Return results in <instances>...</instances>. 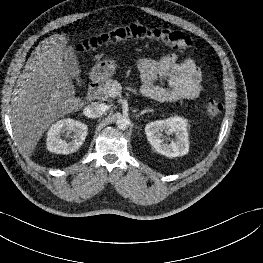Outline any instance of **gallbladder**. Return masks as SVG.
I'll list each match as a JSON object with an SVG mask.
<instances>
[{"label": "gallbladder", "mask_w": 263, "mask_h": 263, "mask_svg": "<svg viewBox=\"0 0 263 263\" xmlns=\"http://www.w3.org/2000/svg\"><path fill=\"white\" fill-rule=\"evenodd\" d=\"M64 64L68 74L75 79H78L80 75L79 64L75 51L72 47H68L64 54Z\"/></svg>", "instance_id": "gallbladder-1"}]
</instances>
